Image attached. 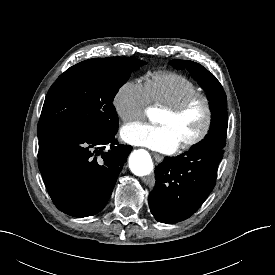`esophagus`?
Returning <instances> with one entry per match:
<instances>
[{
	"instance_id": "obj_1",
	"label": "esophagus",
	"mask_w": 275,
	"mask_h": 275,
	"mask_svg": "<svg viewBox=\"0 0 275 275\" xmlns=\"http://www.w3.org/2000/svg\"><path fill=\"white\" fill-rule=\"evenodd\" d=\"M153 157L156 160V162H158V163L163 161V157L157 153H153Z\"/></svg>"
}]
</instances>
